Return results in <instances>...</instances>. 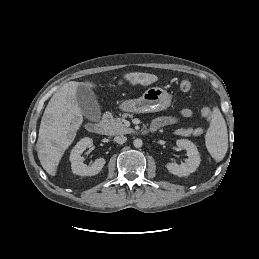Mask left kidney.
Wrapping results in <instances>:
<instances>
[{
	"label": "left kidney",
	"mask_w": 259,
	"mask_h": 259,
	"mask_svg": "<svg viewBox=\"0 0 259 259\" xmlns=\"http://www.w3.org/2000/svg\"><path fill=\"white\" fill-rule=\"evenodd\" d=\"M176 144L179 148L187 151L188 159L181 165L173 162L167 163L166 168L174 175L187 176L193 173L200 164L201 159L198 149L194 143L187 139H179Z\"/></svg>",
	"instance_id": "obj_1"
}]
</instances>
